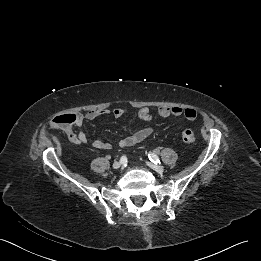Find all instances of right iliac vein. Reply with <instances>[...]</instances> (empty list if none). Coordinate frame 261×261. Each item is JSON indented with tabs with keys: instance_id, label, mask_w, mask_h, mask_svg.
I'll return each mask as SVG.
<instances>
[{
	"instance_id": "right-iliac-vein-1",
	"label": "right iliac vein",
	"mask_w": 261,
	"mask_h": 261,
	"mask_svg": "<svg viewBox=\"0 0 261 261\" xmlns=\"http://www.w3.org/2000/svg\"><path fill=\"white\" fill-rule=\"evenodd\" d=\"M121 166H122V165H121L120 162H114V164H113V168H114V169H119Z\"/></svg>"
}]
</instances>
